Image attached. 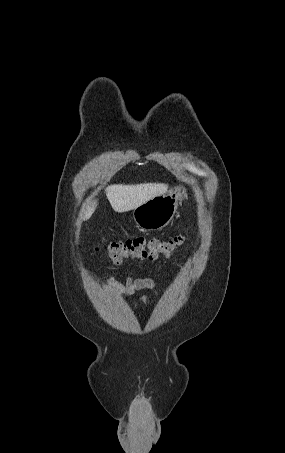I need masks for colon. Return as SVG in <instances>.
Wrapping results in <instances>:
<instances>
[{
    "instance_id": "colon-1",
    "label": "colon",
    "mask_w": 285,
    "mask_h": 453,
    "mask_svg": "<svg viewBox=\"0 0 285 453\" xmlns=\"http://www.w3.org/2000/svg\"><path fill=\"white\" fill-rule=\"evenodd\" d=\"M183 242L182 235L168 239L134 237L125 241L109 242L105 248L116 262L126 258L156 260L160 257H170Z\"/></svg>"
}]
</instances>
